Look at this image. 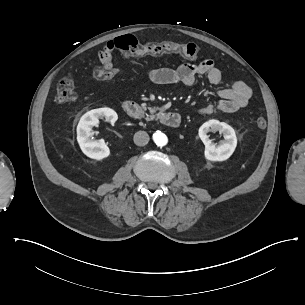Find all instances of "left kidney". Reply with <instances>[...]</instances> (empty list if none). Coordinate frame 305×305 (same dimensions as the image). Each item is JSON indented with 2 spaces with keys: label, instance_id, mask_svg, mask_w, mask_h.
I'll use <instances>...</instances> for the list:
<instances>
[{
  "label": "left kidney",
  "instance_id": "obj_1",
  "mask_svg": "<svg viewBox=\"0 0 305 305\" xmlns=\"http://www.w3.org/2000/svg\"><path fill=\"white\" fill-rule=\"evenodd\" d=\"M219 131L223 134L224 140L215 145L208 137V132ZM199 137L205 145V157L211 161H224L234 152L237 145V138L234 129L218 120H209L199 128Z\"/></svg>",
  "mask_w": 305,
  "mask_h": 305
}]
</instances>
